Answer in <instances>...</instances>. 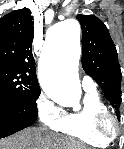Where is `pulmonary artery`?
<instances>
[{
	"instance_id": "pulmonary-artery-1",
	"label": "pulmonary artery",
	"mask_w": 124,
	"mask_h": 149,
	"mask_svg": "<svg viewBox=\"0 0 124 149\" xmlns=\"http://www.w3.org/2000/svg\"><path fill=\"white\" fill-rule=\"evenodd\" d=\"M82 87L85 91H95L96 83L89 76L84 75L82 78Z\"/></svg>"
}]
</instances>
